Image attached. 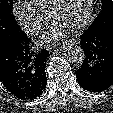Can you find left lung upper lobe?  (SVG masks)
Here are the masks:
<instances>
[{
  "label": "left lung upper lobe",
  "instance_id": "obj_1",
  "mask_svg": "<svg viewBox=\"0 0 113 113\" xmlns=\"http://www.w3.org/2000/svg\"><path fill=\"white\" fill-rule=\"evenodd\" d=\"M102 10L98 17L88 28L89 31L97 30L109 23L113 24V0H101Z\"/></svg>",
  "mask_w": 113,
  "mask_h": 113
}]
</instances>
